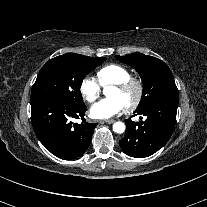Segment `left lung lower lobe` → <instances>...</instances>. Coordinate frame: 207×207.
<instances>
[{
	"label": "left lung lower lobe",
	"mask_w": 207,
	"mask_h": 207,
	"mask_svg": "<svg viewBox=\"0 0 207 207\" xmlns=\"http://www.w3.org/2000/svg\"><path fill=\"white\" fill-rule=\"evenodd\" d=\"M177 107L178 101L166 100L135 111V116L139 115L141 121L135 123L131 118L125 121L126 133L119 141L122 150L135 158L148 157L157 152L174 130Z\"/></svg>",
	"instance_id": "obj_1"
}]
</instances>
